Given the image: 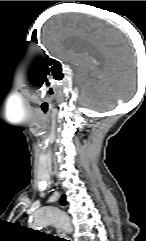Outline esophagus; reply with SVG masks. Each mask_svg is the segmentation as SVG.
Masks as SVG:
<instances>
[{"instance_id": "esophagus-1", "label": "esophagus", "mask_w": 146, "mask_h": 241, "mask_svg": "<svg viewBox=\"0 0 146 241\" xmlns=\"http://www.w3.org/2000/svg\"><path fill=\"white\" fill-rule=\"evenodd\" d=\"M57 233L63 238L64 241H72L61 229H58Z\"/></svg>"}]
</instances>
